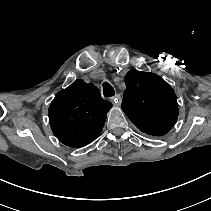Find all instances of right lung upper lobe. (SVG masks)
Returning a JSON list of instances; mask_svg holds the SVG:
<instances>
[{
    "label": "right lung upper lobe",
    "instance_id": "right-lung-upper-lobe-1",
    "mask_svg": "<svg viewBox=\"0 0 211 211\" xmlns=\"http://www.w3.org/2000/svg\"><path fill=\"white\" fill-rule=\"evenodd\" d=\"M111 107L95 85L76 80L52 101L48 110L51 129L63 144L85 146L100 135Z\"/></svg>",
    "mask_w": 211,
    "mask_h": 211
}]
</instances>
